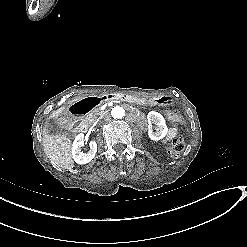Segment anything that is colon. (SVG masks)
<instances>
[{"instance_id":"5ec220e1","label":"colon","mask_w":247,"mask_h":247,"mask_svg":"<svg viewBox=\"0 0 247 247\" xmlns=\"http://www.w3.org/2000/svg\"><path fill=\"white\" fill-rule=\"evenodd\" d=\"M168 115V120L170 122H177L178 124H183L185 122V116L183 114H178L177 112H166ZM185 149V141L182 137H177L174 139L171 147L169 148V155L172 158L178 157Z\"/></svg>"}]
</instances>
